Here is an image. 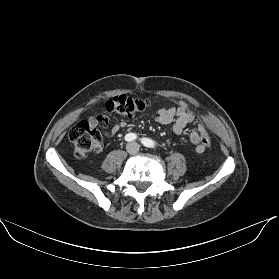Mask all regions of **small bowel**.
<instances>
[{"instance_id":"c3829d8e","label":"small bowel","mask_w":279,"mask_h":279,"mask_svg":"<svg viewBox=\"0 0 279 279\" xmlns=\"http://www.w3.org/2000/svg\"><path fill=\"white\" fill-rule=\"evenodd\" d=\"M155 120L161 125L174 123L173 130L175 134L181 135L184 128L195 121V116L186 102L179 101L174 107L160 109ZM89 121L97 125V119L95 117H90ZM125 127L126 122L120 121L116 123L110 131L106 132V135L109 137L114 136ZM204 137H208L207 129L202 122H198L196 128L190 133V140L195 145L197 153H203L206 149L202 142Z\"/></svg>"}]
</instances>
